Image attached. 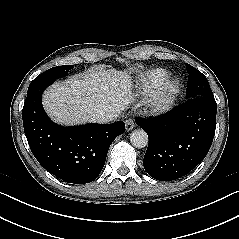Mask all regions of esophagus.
Wrapping results in <instances>:
<instances>
[{
	"label": "esophagus",
	"mask_w": 239,
	"mask_h": 239,
	"mask_svg": "<svg viewBox=\"0 0 239 239\" xmlns=\"http://www.w3.org/2000/svg\"><path fill=\"white\" fill-rule=\"evenodd\" d=\"M135 123L133 121V119L129 118L125 121V128L127 131H130L134 128Z\"/></svg>",
	"instance_id": "34e87169"
}]
</instances>
